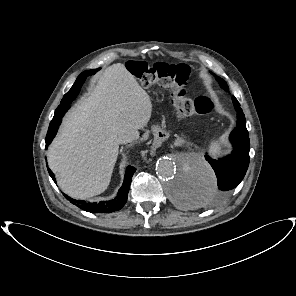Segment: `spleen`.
I'll use <instances>...</instances> for the list:
<instances>
[{
	"instance_id": "obj_1",
	"label": "spleen",
	"mask_w": 296,
	"mask_h": 296,
	"mask_svg": "<svg viewBox=\"0 0 296 296\" xmlns=\"http://www.w3.org/2000/svg\"><path fill=\"white\" fill-rule=\"evenodd\" d=\"M209 152L212 156L219 155L222 152L221 144L218 141L213 140L209 146Z\"/></svg>"
}]
</instances>
